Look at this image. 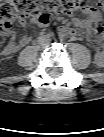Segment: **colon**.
I'll return each mask as SVG.
<instances>
[{"label": "colon", "mask_w": 104, "mask_h": 137, "mask_svg": "<svg viewBox=\"0 0 104 137\" xmlns=\"http://www.w3.org/2000/svg\"><path fill=\"white\" fill-rule=\"evenodd\" d=\"M84 7L103 9L104 0H4L0 6V31L10 32L17 21L28 17L46 24L52 13H71Z\"/></svg>", "instance_id": "1"}]
</instances>
